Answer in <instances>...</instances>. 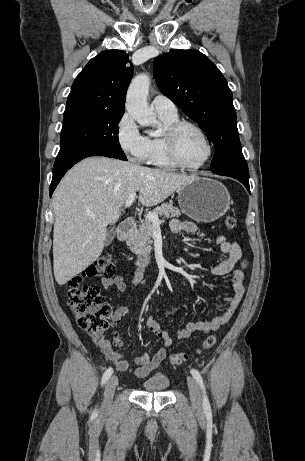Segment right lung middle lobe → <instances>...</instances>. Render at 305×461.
Wrapping results in <instances>:
<instances>
[{
  "label": "right lung middle lobe",
  "mask_w": 305,
  "mask_h": 461,
  "mask_svg": "<svg viewBox=\"0 0 305 461\" xmlns=\"http://www.w3.org/2000/svg\"><path fill=\"white\" fill-rule=\"evenodd\" d=\"M123 113L90 107L66 108L57 158L77 152L102 150L127 160L118 140V123Z\"/></svg>",
  "instance_id": "obj_1"
}]
</instances>
